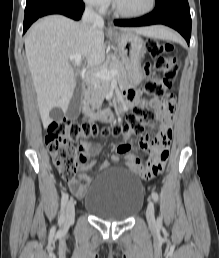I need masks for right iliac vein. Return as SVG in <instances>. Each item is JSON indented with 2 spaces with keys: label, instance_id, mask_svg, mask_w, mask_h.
I'll list each match as a JSON object with an SVG mask.
<instances>
[{
  "label": "right iliac vein",
  "instance_id": "1",
  "mask_svg": "<svg viewBox=\"0 0 219 258\" xmlns=\"http://www.w3.org/2000/svg\"><path fill=\"white\" fill-rule=\"evenodd\" d=\"M75 216V201L70 199L66 206V223H72Z\"/></svg>",
  "mask_w": 219,
  "mask_h": 258
}]
</instances>
